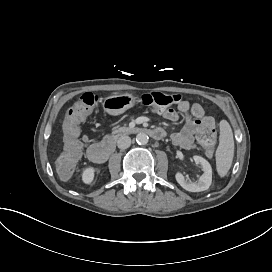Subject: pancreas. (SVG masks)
Returning <instances> with one entry per match:
<instances>
[{
  "instance_id": "cf45deb5",
  "label": "pancreas",
  "mask_w": 272,
  "mask_h": 272,
  "mask_svg": "<svg viewBox=\"0 0 272 272\" xmlns=\"http://www.w3.org/2000/svg\"><path fill=\"white\" fill-rule=\"evenodd\" d=\"M134 129L129 128V127H120L118 129H114L112 134H113V138L115 140H117L121 135H125V134H130L133 133Z\"/></svg>"
}]
</instances>
